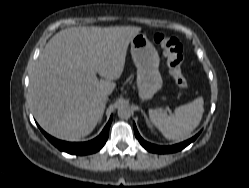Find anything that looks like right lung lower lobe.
Masks as SVG:
<instances>
[{"instance_id": "right-lung-lower-lobe-1", "label": "right lung lower lobe", "mask_w": 249, "mask_h": 188, "mask_svg": "<svg viewBox=\"0 0 249 188\" xmlns=\"http://www.w3.org/2000/svg\"><path fill=\"white\" fill-rule=\"evenodd\" d=\"M112 122V117L108 121L107 125L101 132V134L88 142H82V143H70V142H64L57 140L47 133H44V135L47 137V139L54 145L56 146L59 150L70 153V154H76V155H86V154H91L99 151L104 144L106 143L108 139V134H109V127Z\"/></svg>"}]
</instances>
